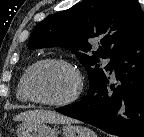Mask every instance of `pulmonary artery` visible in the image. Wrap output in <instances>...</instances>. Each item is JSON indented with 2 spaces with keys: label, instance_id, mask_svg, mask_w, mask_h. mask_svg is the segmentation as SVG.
Masks as SVG:
<instances>
[{
  "label": "pulmonary artery",
  "instance_id": "pulmonary-artery-1",
  "mask_svg": "<svg viewBox=\"0 0 144 137\" xmlns=\"http://www.w3.org/2000/svg\"><path fill=\"white\" fill-rule=\"evenodd\" d=\"M110 61V58H107L104 60L105 63H108Z\"/></svg>",
  "mask_w": 144,
  "mask_h": 137
}]
</instances>
